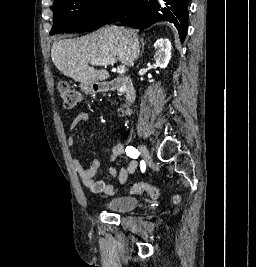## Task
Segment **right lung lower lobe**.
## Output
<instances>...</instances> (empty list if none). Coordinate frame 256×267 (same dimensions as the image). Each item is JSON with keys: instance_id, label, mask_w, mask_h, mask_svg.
Segmentation results:
<instances>
[{"instance_id": "98d812e1", "label": "right lung lower lobe", "mask_w": 256, "mask_h": 267, "mask_svg": "<svg viewBox=\"0 0 256 267\" xmlns=\"http://www.w3.org/2000/svg\"><path fill=\"white\" fill-rule=\"evenodd\" d=\"M190 0H131L120 20L132 28L145 29L161 21L172 22L183 43L188 26Z\"/></svg>"}]
</instances>
